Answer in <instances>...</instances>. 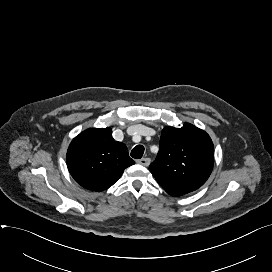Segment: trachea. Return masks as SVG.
Wrapping results in <instances>:
<instances>
[{
    "label": "trachea",
    "instance_id": "trachea-1",
    "mask_svg": "<svg viewBox=\"0 0 272 272\" xmlns=\"http://www.w3.org/2000/svg\"><path fill=\"white\" fill-rule=\"evenodd\" d=\"M144 154V147L142 145L135 146L131 151V157L140 159Z\"/></svg>",
    "mask_w": 272,
    "mask_h": 272
}]
</instances>
